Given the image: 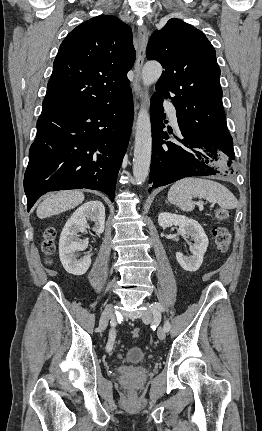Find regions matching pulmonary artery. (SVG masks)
<instances>
[{
  "label": "pulmonary artery",
  "instance_id": "pulmonary-artery-1",
  "mask_svg": "<svg viewBox=\"0 0 262 431\" xmlns=\"http://www.w3.org/2000/svg\"><path fill=\"white\" fill-rule=\"evenodd\" d=\"M163 106L166 109V111H167V113H168V115L170 117L171 123L175 127H177L178 123H177V117H176V109H175V107L169 101H165L163 103Z\"/></svg>",
  "mask_w": 262,
  "mask_h": 431
}]
</instances>
